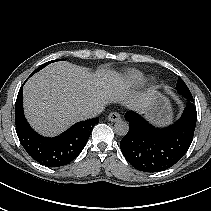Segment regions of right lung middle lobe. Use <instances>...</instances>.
<instances>
[{
	"mask_svg": "<svg viewBox=\"0 0 211 211\" xmlns=\"http://www.w3.org/2000/svg\"><path fill=\"white\" fill-rule=\"evenodd\" d=\"M59 60H65V59H59ZM55 61H58V60H54V61H49V62H46L44 63L43 65H41L39 68H37L31 75H33L34 73L38 72L39 70L43 69L45 66H47L48 64L52 63V62H55Z\"/></svg>",
	"mask_w": 211,
	"mask_h": 211,
	"instance_id": "1",
	"label": "right lung middle lobe"
}]
</instances>
